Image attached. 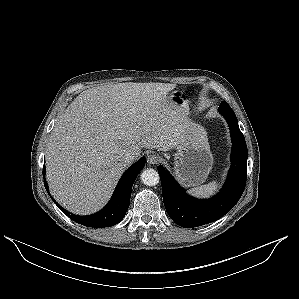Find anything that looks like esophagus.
I'll return each mask as SVG.
<instances>
[{"label": "esophagus", "mask_w": 299, "mask_h": 299, "mask_svg": "<svg viewBox=\"0 0 299 299\" xmlns=\"http://www.w3.org/2000/svg\"><path fill=\"white\" fill-rule=\"evenodd\" d=\"M160 161V157L156 154H150L147 156V162L151 165L157 164Z\"/></svg>", "instance_id": "obj_1"}]
</instances>
